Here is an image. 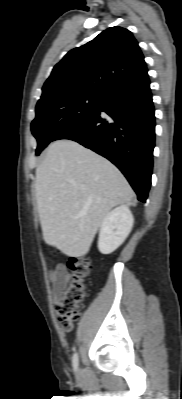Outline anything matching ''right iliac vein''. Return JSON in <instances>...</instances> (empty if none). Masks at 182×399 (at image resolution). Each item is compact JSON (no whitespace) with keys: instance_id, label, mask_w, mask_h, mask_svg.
Segmentation results:
<instances>
[{"instance_id":"1","label":"right iliac vein","mask_w":182,"mask_h":399,"mask_svg":"<svg viewBox=\"0 0 182 399\" xmlns=\"http://www.w3.org/2000/svg\"><path fill=\"white\" fill-rule=\"evenodd\" d=\"M76 374H77V376H79V375H80V372H79V370L77 371V373H76Z\"/></svg>"}]
</instances>
